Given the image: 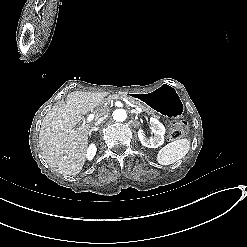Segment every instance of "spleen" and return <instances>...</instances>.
I'll return each mask as SVG.
<instances>
[{"label": "spleen", "instance_id": "obj_1", "mask_svg": "<svg viewBox=\"0 0 247 247\" xmlns=\"http://www.w3.org/2000/svg\"><path fill=\"white\" fill-rule=\"evenodd\" d=\"M190 149V139H177L163 148L157 154V162L160 165H170L182 159Z\"/></svg>", "mask_w": 247, "mask_h": 247}]
</instances>
